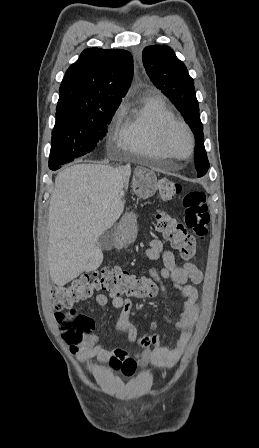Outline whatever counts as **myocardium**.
<instances>
[{"mask_svg":"<svg viewBox=\"0 0 259 448\" xmlns=\"http://www.w3.org/2000/svg\"><path fill=\"white\" fill-rule=\"evenodd\" d=\"M175 128H181L187 135L188 141H189V149H188V157L187 160H192L195 156V137L192 129L190 126L183 120L173 118L166 122H164L159 130L158 133V141L160 144V147L162 149L168 150L171 149L170 147V135L172 131ZM146 156V154L144 155ZM146 163H150L145 161Z\"/></svg>","mask_w":259,"mask_h":448,"instance_id":"f54148a6","label":"myocardium"}]
</instances>
